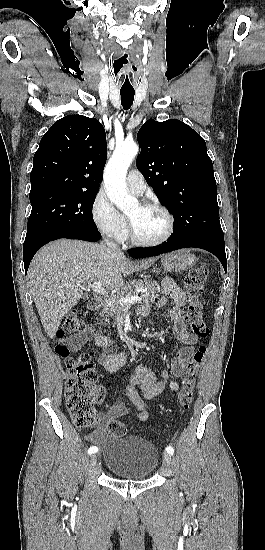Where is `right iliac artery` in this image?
Wrapping results in <instances>:
<instances>
[{"mask_svg": "<svg viewBox=\"0 0 265 550\" xmlns=\"http://www.w3.org/2000/svg\"><path fill=\"white\" fill-rule=\"evenodd\" d=\"M97 451H98V448L96 446H91L88 449V454H93V453H96Z\"/></svg>", "mask_w": 265, "mask_h": 550, "instance_id": "obj_1", "label": "right iliac artery"}]
</instances>
